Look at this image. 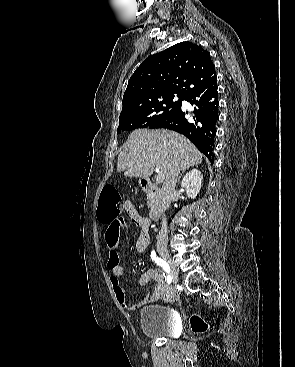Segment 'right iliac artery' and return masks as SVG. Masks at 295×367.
Returning <instances> with one entry per match:
<instances>
[{
  "mask_svg": "<svg viewBox=\"0 0 295 367\" xmlns=\"http://www.w3.org/2000/svg\"><path fill=\"white\" fill-rule=\"evenodd\" d=\"M151 259L157 264L159 265L160 267L163 268V270L168 273L167 277H166V280H167V283H171L172 282V277L171 275L169 274L170 273V267L169 265L161 258H159L157 255H156V252L155 251H152L151 252Z\"/></svg>",
  "mask_w": 295,
  "mask_h": 367,
  "instance_id": "obj_1",
  "label": "right iliac artery"
}]
</instances>
